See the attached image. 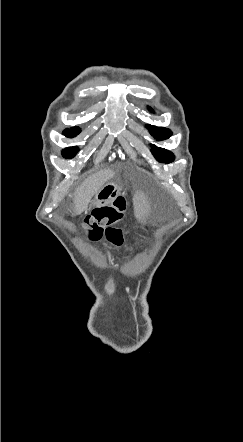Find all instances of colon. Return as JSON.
<instances>
[{"instance_id": "5ec220e1", "label": "colon", "mask_w": 243, "mask_h": 442, "mask_svg": "<svg viewBox=\"0 0 243 442\" xmlns=\"http://www.w3.org/2000/svg\"><path fill=\"white\" fill-rule=\"evenodd\" d=\"M127 202L122 195L116 196L110 203L94 208L82 223L91 239L105 237L114 246L123 243V233L118 225L125 217Z\"/></svg>"}]
</instances>
